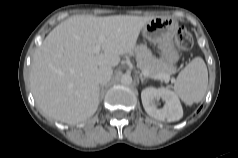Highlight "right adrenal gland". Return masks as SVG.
<instances>
[{
  "label": "right adrenal gland",
  "instance_id": "right-adrenal-gland-1",
  "mask_svg": "<svg viewBox=\"0 0 238 158\" xmlns=\"http://www.w3.org/2000/svg\"><path fill=\"white\" fill-rule=\"evenodd\" d=\"M103 88H104V85H101V86H100V99H101V96H102Z\"/></svg>",
  "mask_w": 238,
  "mask_h": 158
}]
</instances>
